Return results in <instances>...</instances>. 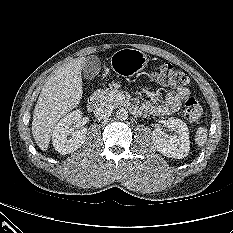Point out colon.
Here are the masks:
<instances>
[{"instance_id":"colon-1","label":"colon","mask_w":233,"mask_h":233,"mask_svg":"<svg viewBox=\"0 0 233 233\" xmlns=\"http://www.w3.org/2000/svg\"><path fill=\"white\" fill-rule=\"evenodd\" d=\"M151 79L163 86L184 87L189 79L187 75L169 63L159 65L150 75ZM203 113L202 106L195 98H188L184 105V117L190 123H197Z\"/></svg>"}]
</instances>
